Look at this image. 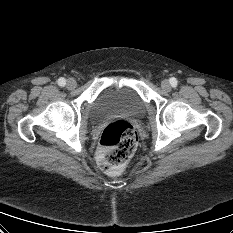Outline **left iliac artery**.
Instances as JSON below:
<instances>
[{"label": "left iliac artery", "instance_id": "44dca946", "mask_svg": "<svg viewBox=\"0 0 233 233\" xmlns=\"http://www.w3.org/2000/svg\"><path fill=\"white\" fill-rule=\"evenodd\" d=\"M170 83H171L172 87H176L177 86L176 78H171Z\"/></svg>", "mask_w": 233, "mask_h": 233}]
</instances>
